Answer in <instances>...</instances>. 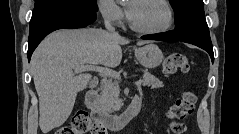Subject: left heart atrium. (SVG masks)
<instances>
[{"instance_id":"left-heart-atrium-1","label":"left heart atrium","mask_w":239,"mask_h":134,"mask_svg":"<svg viewBox=\"0 0 239 134\" xmlns=\"http://www.w3.org/2000/svg\"><path fill=\"white\" fill-rule=\"evenodd\" d=\"M127 13H128V16L130 17V15H131V10L128 9Z\"/></svg>"}]
</instances>
